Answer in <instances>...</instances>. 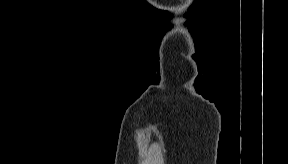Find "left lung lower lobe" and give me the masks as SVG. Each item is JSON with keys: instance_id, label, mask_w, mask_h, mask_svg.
<instances>
[{"instance_id": "obj_1", "label": "left lung lower lobe", "mask_w": 288, "mask_h": 164, "mask_svg": "<svg viewBox=\"0 0 288 164\" xmlns=\"http://www.w3.org/2000/svg\"><path fill=\"white\" fill-rule=\"evenodd\" d=\"M205 76V89L201 92L204 98L209 99L210 101H214L216 98L217 90L212 88V83L220 79V87L223 89L224 87L228 86L233 78L234 73L231 69H222L220 73L216 72H204Z\"/></svg>"}]
</instances>
